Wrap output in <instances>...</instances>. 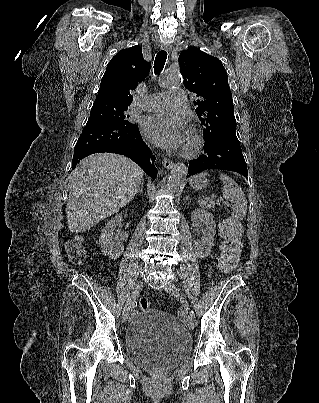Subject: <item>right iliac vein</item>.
Listing matches in <instances>:
<instances>
[{"label":"right iliac vein","instance_id":"63e3f726","mask_svg":"<svg viewBox=\"0 0 319 403\" xmlns=\"http://www.w3.org/2000/svg\"><path fill=\"white\" fill-rule=\"evenodd\" d=\"M143 287V282L142 281H138L135 286L133 287L130 296L128 298V301L123 309V313H122V321L124 323H126L129 319V315H130V310L132 305L134 304L136 298L139 296V293L141 291Z\"/></svg>","mask_w":319,"mask_h":403}]
</instances>
